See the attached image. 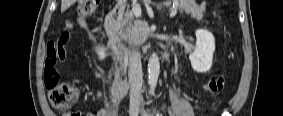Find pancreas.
Segmentation results:
<instances>
[{
    "mask_svg": "<svg viewBox=\"0 0 283 116\" xmlns=\"http://www.w3.org/2000/svg\"><path fill=\"white\" fill-rule=\"evenodd\" d=\"M175 3L176 7L179 8L181 13L185 12L196 19L202 18L203 12H205L204 7L198 6L191 1L176 0ZM163 5H168V3H164ZM114 34L130 43H140L142 39L139 20L134 19L131 11H127L120 27L115 30Z\"/></svg>",
    "mask_w": 283,
    "mask_h": 116,
    "instance_id": "obj_1",
    "label": "pancreas"
}]
</instances>
